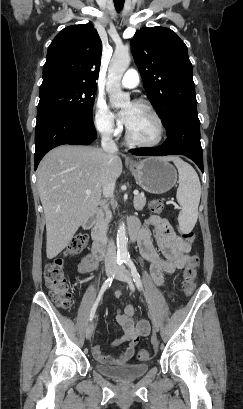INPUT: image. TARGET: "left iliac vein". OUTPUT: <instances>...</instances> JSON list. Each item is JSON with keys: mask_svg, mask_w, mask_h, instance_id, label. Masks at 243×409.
<instances>
[{"mask_svg": "<svg viewBox=\"0 0 243 409\" xmlns=\"http://www.w3.org/2000/svg\"><path fill=\"white\" fill-rule=\"evenodd\" d=\"M115 276L118 280L120 281H124V282H128L130 284H132L133 282V278L131 273L126 269L125 266H116L115 268ZM151 320H152V324H153V330L155 332H158L159 330V325L158 322L156 321V319L150 315ZM154 348L157 350V346L156 344L154 345Z\"/></svg>", "mask_w": 243, "mask_h": 409, "instance_id": "4c4485c4", "label": "left iliac vein"}]
</instances>
